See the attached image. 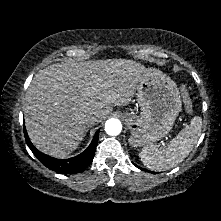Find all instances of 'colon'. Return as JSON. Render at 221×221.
I'll return each mask as SVG.
<instances>
[{
	"label": "colon",
	"instance_id": "1",
	"mask_svg": "<svg viewBox=\"0 0 221 221\" xmlns=\"http://www.w3.org/2000/svg\"><path fill=\"white\" fill-rule=\"evenodd\" d=\"M181 93H182V96H183V102H184L185 108L187 109L188 112L193 113L194 112V106H193V103L191 101L189 92H188V90L185 86L181 87Z\"/></svg>",
	"mask_w": 221,
	"mask_h": 221
}]
</instances>
